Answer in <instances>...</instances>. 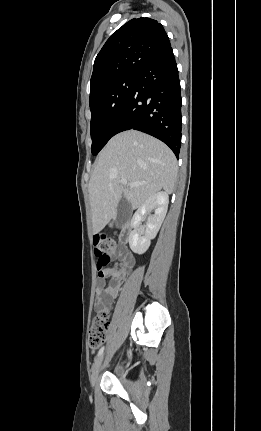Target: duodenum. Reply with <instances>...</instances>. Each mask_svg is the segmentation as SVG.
I'll use <instances>...</instances> for the list:
<instances>
[{
	"label": "duodenum",
	"instance_id": "duodenum-1",
	"mask_svg": "<svg viewBox=\"0 0 261 431\" xmlns=\"http://www.w3.org/2000/svg\"><path fill=\"white\" fill-rule=\"evenodd\" d=\"M121 241L123 243H127L129 241L130 238V225L127 223L125 224V226L123 227V230L121 232Z\"/></svg>",
	"mask_w": 261,
	"mask_h": 431
}]
</instances>
